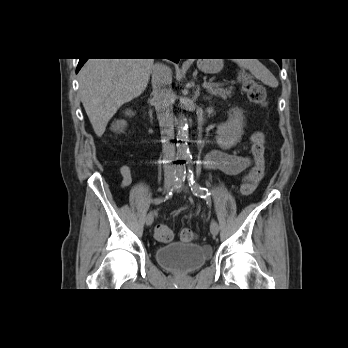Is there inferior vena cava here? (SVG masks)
<instances>
[{"mask_svg": "<svg viewBox=\"0 0 348 348\" xmlns=\"http://www.w3.org/2000/svg\"><path fill=\"white\" fill-rule=\"evenodd\" d=\"M153 104L161 130L163 159L171 162L175 158L173 104L175 94L172 90L171 69L161 63L153 65L152 70Z\"/></svg>", "mask_w": 348, "mask_h": 348, "instance_id": "inferior-vena-cava-1", "label": "inferior vena cava"}]
</instances>
